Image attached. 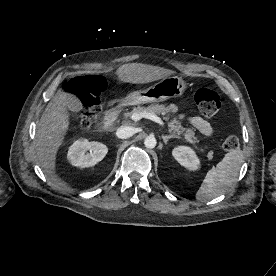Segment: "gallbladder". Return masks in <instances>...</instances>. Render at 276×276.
Listing matches in <instances>:
<instances>
[{"label": "gallbladder", "mask_w": 276, "mask_h": 276, "mask_svg": "<svg viewBox=\"0 0 276 276\" xmlns=\"http://www.w3.org/2000/svg\"><path fill=\"white\" fill-rule=\"evenodd\" d=\"M67 106L69 110L74 112H77L83 109V105L81 101L76 96L72 97V99L68 102Z\"/></svg>", "instance_id": "gallbladder-1"}]
</instances>
